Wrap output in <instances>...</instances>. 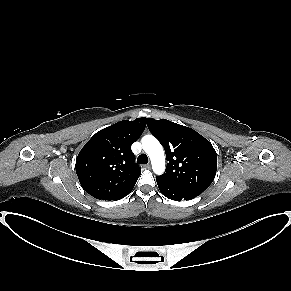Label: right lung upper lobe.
Listing matches in <instances>:
<instances>
[{
  "label": "right lung upper lobe",
  "instance_id": "right-lung-upper-lobe-1",
  "mask_svg": "<svg viewBox=\"0 0 291 291\" xmlns=\"http://www.w3.org/2000/svg\"><path fill=\"white\" fill-rule=\"evenodd\" d=\"M147 118L124 120L98 131L76 158V173L83 189L100 200H118L133 189L141 168L131 145L141 136Z\"/></svg>",
  "mask_w": 291,
  "mask_h": 291
}]
</instances>
